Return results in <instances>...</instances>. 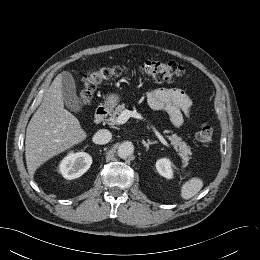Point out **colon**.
<instances>
[{"label":"colon","instance_id":"colon-1","mask_svg":"<svg viewBox=\"0 0 260 260\" xmlns=\"http://www.w3.org/2000/svg\"><path fill=\"white\" fill-rule=\"evenodd\" d=\"M131 69L128 66H99L88 70L83 78L79 88L78 96L82 104H87L97 86L104 81L120 77L128 73ZM138 73L151 78L160 83H170L181 79L187 75L183 66L173 61L148 60L139 64L136 68ZM196 138L203 144H209L213 140V130L203 124L196 133Z\"/></svg>","mask_w":260,"mask_h":260}]
</instances>
